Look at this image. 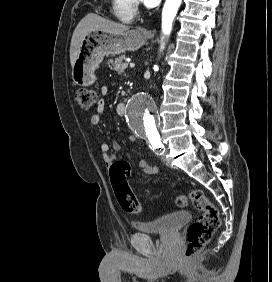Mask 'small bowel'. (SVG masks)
<instances>
[{"label":"small bowel","instance_id":"obj_1","mask_svg":"<svg viewBox=\"0 0 272 282\" xmlns=\"http://www.w3.org/2000/svg\"><path fill=\"white\" fill-rule=\"evenodd\" d=\"M106 92H107V88H106V86H103L101 88V93L104 95V94H106ZM103 111H104V100L102 99L99 102V105H98L96 113H94L91 116V123L93 125H97L100 122L101 115H102ZM129 140L132 141V142H135L136 141V137L135 136H130ZM112 149H113L114 153L113 154H109V145L107 143H103L101 145V152L103 154V160H104L106 165H110V164L113 163V161L116 158L115 154L120 150V145H119V143L117 141H113ZM123 163L127 167V169L129 170L130 169V164L128 162H123ZM139 166L142 169L143 173H145L147 175L153 174L155 172V170H156L154 167H151L146 160H141L139 162Z\"/></svg>","mask_w":272,"mask_h":282}]
</instances>
